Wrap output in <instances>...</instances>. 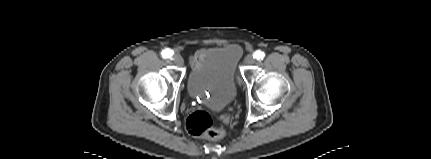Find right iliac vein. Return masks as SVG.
<instances>
[{"label":"right iliac vein","mask_w":431,"mask_h":159,"mask_svg":"<svg viewBox=\"0 0 431 159\" xmlns=\"http://www.w3.org/2000/svg\"><path fill=\"white\" fill-rule=\"evenodd\" d=\"M172 60L174 61V63L176 65H179V66L183 65V63H184L183 58L178 54H175L173 56Z\"/></svg>","instance_id":"1"}]
</instances>
